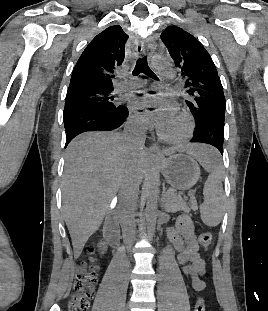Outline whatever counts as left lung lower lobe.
<instances>
[{
  "mask_svg": "<svg viewBox=\"0 0 268 311\" xmlns=\"http://www.w3.org/2000/svg\"><path fill=\"white\" fill-rule=\"evenodd\" d=\"M211 115L214 116L218 122L213 123L204 120L196 124L191 142L194 140H201L202 143L211 144L216 147L220 153L223 154L225 110H216L215 113Z\"/></svg>",
  "mask_w": 268,
  "mask_h": 311,
  "instance_id": "0a47b994",
  "label": "left lung lower lobe"
}]
</instances>
